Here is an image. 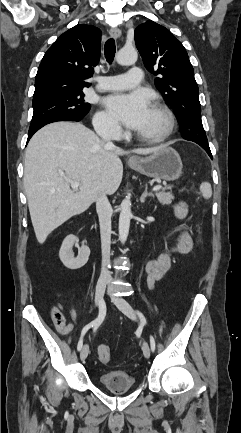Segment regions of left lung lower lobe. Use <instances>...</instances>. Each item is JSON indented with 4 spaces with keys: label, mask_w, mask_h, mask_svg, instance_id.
Segmentation results:
<instances>
[{
    "label": "left lung lower lobe",
    "mask_w": 241,
    "mask_h": 433,
    "mask_svg": "<svg viewBox=\"0 0 241 433\" xmlns=\"http://www.w3.org/2000/svg\"><path fill=\"white\" fill-rule=\"evenodd\" d=\"M201 147L204 148L206 150V152L208 153V155L212 158V154H211L209 146H201Z\"/></svg>",
    "instance_id": "left-lung-lower-lobe-1"
}]
</instances>
